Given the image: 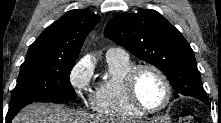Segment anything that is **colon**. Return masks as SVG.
I'll list each match as a JSON object with an SVG mask.
<instances>
[{
  "label": "colon",
  "mask_w": 221,
  "mask_h": 123,
  "mask_svg": "<svg viewBox=\"0 0 221 123\" xmlns=\"http://www.w3.org/2000/svg\"><path fill=\"white\" fill-rule=\"evenodd\" d=\"M179 123H202V120L192 111L185 110L180 114Z\"/></svg>",
  "instance_id": "5ec220e1"
}]
</instances>
